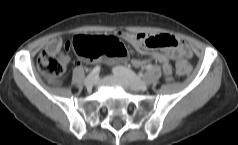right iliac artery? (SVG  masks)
<instances>
[{"mask_svg": "<svg viewBox=\"0 0 238 145\" xmlns=\"http://www.w3.org/2000/svg\"><path fill=\"white\" fill-rule=\"evenodd\" d=\"M100 71V66H96L89 74L88 76H93L97 74Z\"/></svg>", "mask_w": 238, "mask_h": 145, "instance_id": "obj_1", "label": "right iliac artery"}]
</instances>
